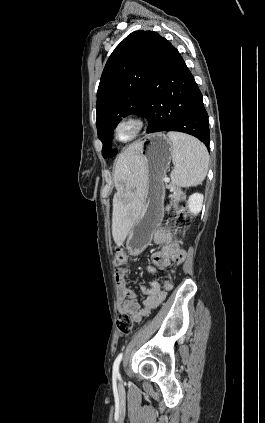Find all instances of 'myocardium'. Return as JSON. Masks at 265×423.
Returning <instances> with one entry per match:
<instances>
[{
    "label": "myocardium",
    "instance_id": "1",
    "mask_svg": "<svg viewBox=\"0 0 265 423\" xmlns=\"http://www.w3.org/2000/svg\"><path fill=\"white\" fill-rule=\"evenodd\" d=\"M130 129L127 137H121V130ZM145 129V121L138 115H128L118 120L113 127L114 138L120 143H129L138 138Z\"/></svg>",
    "mask_w": 265,
    "mask_h": 423
}]
</instances>
